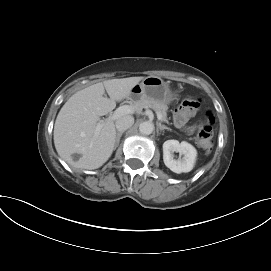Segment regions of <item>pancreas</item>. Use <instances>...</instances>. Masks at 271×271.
<instances>
[{
  "mask_svg": "<svg viewBox=\"0 0 271 271\" xmlns=\"http://www.w3.org/2000/svg\"><path fill=\"white\" fill-rule=\"evenodd\" d=\"M133 105L134 107H136L137 110H141L146 107L152 108L156 113H161L162 120L164 122L167 121L166 111L168 107L163 103H160L151 99H140V100L134 101Z\"/></svg>",
  "mask_w": 271,
  "mask_h": 271,
  "instance_id": "pancreas-1",
  "label": "pancreas"
}]
</instances>
